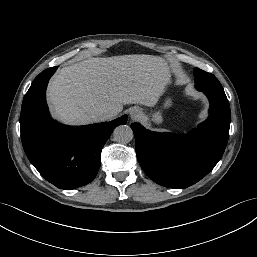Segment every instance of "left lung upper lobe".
I'll return each mask as SVG.
<instances>
[{"mask_svg": "<svg viewBox=\"0 0 257 257\" xmlns=\"http://www.w3.org/2000/svg\"><path fill=\"white\" fill-rule=\"evenodd\" d=\"M195 86L198 90L224 92L222 85L214 75L198 68L195 70Z\"/></svg>", "mask_w": 257, "mask_h": 257, "instance_id": "5c2ea615", "label": "left lung upper lobe"}]
</instances>
